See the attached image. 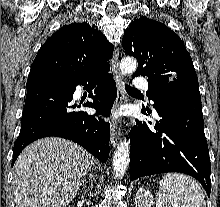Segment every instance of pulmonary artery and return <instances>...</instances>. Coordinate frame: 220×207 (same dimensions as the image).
Returning <instances> with one entry per match:
<instances>
[{"mask_svg": "<svg viewBox=\"0 0 220 207\" xmlns=\"http://www.w3.org/2000/svg\"><path fill=\"white\" fill-rule=\"evenodd\" d=\"M134 86L138 89L148 90V82L144 78H136L134 80Z\"/></svg>", "mask_w": 220, "mask_h": 207, "instance_id": "pulmonary-artery-1", "label": "pulmonary artery"}]
</instances>
